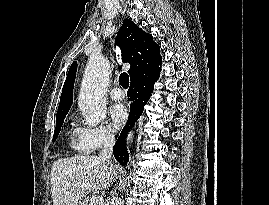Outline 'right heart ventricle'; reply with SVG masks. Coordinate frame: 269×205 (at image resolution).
<instances>
[{
    "instance_id": "obj_1",
    "label": "right heart ventricle",
    "mask_w": 269,
    "mask_h": 205,
    "mask_svg": "<svg viewBox=\"0 0 269 205\" xmlns=\"http://www.w3.org/2000/svg\"><path fill=\"white\" fill-rule=\"evenodd\" d=\"M76 133V132H75ZM71 145L74 150H76L80 154H87L89 152L88 149H86L78 139L75 138V135L72 136L71 138Z\"/></svg>"
}]
</instances>
